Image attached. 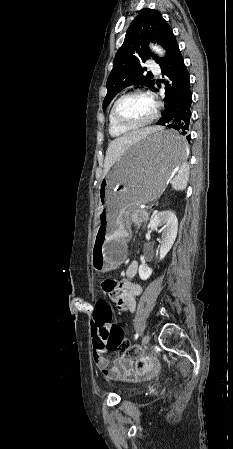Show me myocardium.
Masks as SVG:
<instances>
[{"label":"myocardium","mask_w":233,"mask_h":449,"mask_svg":"<svg viewBox=\"0 0 233 449\" xmlns=\"http://www.w3.org/2000/svg\"><path fill=\"white\" fill-rule=\"evenodd\" d=\"M136 95H142V96L149 97L153 101L154 111H153L152 115L150 116V118L147 119L146 121H143V122H140V123H136V124L125 123L124 121L119 119L118 116H117L118 105L125 98L131 97V96H136ZM157 116H158V102L156 101V99L149 92L144 91V90H140V89L132 90V91H129L127 93H124L123 95H121L114 102V104H113V106L111 108V117H112L113 122L119 128L124 129V130H136V129H141V128L147 127V126L151 125L155 121Z\"/></svg>","instance_id":"f54148a6"}]
</instances>
